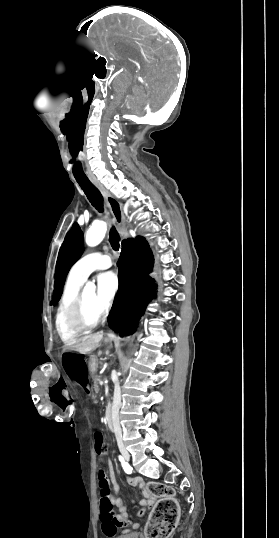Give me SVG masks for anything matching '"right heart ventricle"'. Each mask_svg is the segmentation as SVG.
Instances as JSON below:
<instances>
[{
  "instance_id": "e07e8e85",
  "label": "right heart ventricle",
  "mask_w": 279,
  "mask_h": 538,
  "mask_svg": "<svg viewBox=\"0 0 279 538\" xmlns=\"http://www.w3.org/2000/svg\"><path fill=\"white\" fill-rule=\"evenodd\" d=\"M108 232H109L108 218L103 215L96 214L91 225L86 230L87 241H89V239L93 235L102 236V235L107 234ZM85 280L86 279L76 277L75 274L72 272V268H71L68 278H67V282L64 287L63 294L61 296L59 305L57 307V312H56V329L59 336L64 342H71L83 334V333H75L68 330L65 324V316H66L69 306L73 303V301L79 295L81 288L83 284L85 283Z\"/></svg>"
}]
</instances>
